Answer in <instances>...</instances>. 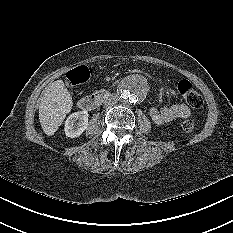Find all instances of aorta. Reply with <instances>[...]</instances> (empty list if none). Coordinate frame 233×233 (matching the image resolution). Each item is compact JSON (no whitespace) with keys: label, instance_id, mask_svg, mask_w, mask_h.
Wrapping results in <instances>:
<instances>
[{"label":"aorta","instance_id":"1","mask_svg":"<svg viewBox=\"0 0 233 233\" xmlns=\"http://www.w3.org/2000/svg\"><path fill=\"white\" fill-rule=\"evenodd\" d=\"M146 95L145 80L139 76H132L122 82L119 96L125 104L139 103Z\"/></svg>","mask_w":233,"mask_h":233}]
</instances>
